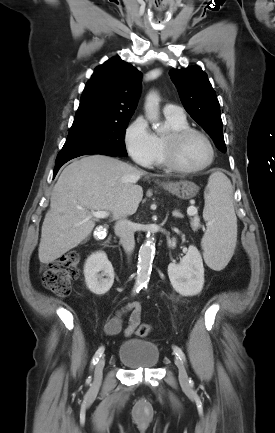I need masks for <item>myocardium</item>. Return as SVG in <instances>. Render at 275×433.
<instances>
[{
	"instance_id": "myocardium-1",
	"label": "myocardium",
	"mask_w": 275,
	"mask_h": 433,
	"mask_svg": "<svg viewBox=\"0 0 275 433\" xmlns=\"http://www.w3.org/2000/svg\"><path fill=\"white\" fill-rule=\"evenodd\" d=\"M200 135L207 142L210 149L209 160L201 166L198 167H185L178 159V151L182 142L191 135ZM164 156L166 165L179 173H197L207 169L214 161L216 156V150L214 143L210 136L201 129L187 127L180 130L170 131L164 138Z\"/></svg>"
}]
</instances>
